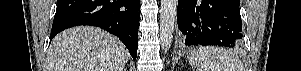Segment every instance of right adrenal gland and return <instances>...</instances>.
<instances>
[{"label":"right adrenal gland","instance_id":"1","mask_svg":"<svg viewBox=\"0 0 301 71\" xmlns=\"http://www.w3.org/2000/svg\"><path fill=\"white\" fill-rule=\"evenodd\" d=\"M127 70V68H124V71H126Z\"/></svg>","mask_w":301,"mask_h":71}]
</instances>
